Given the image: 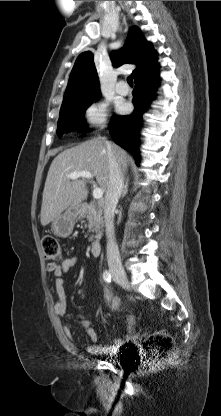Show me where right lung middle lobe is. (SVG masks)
Listing matches in <instances>:
<instances>
[{
    "label": "right lung middle lobe",
    "mask_w": 221,
    "mask_h": 416,
    "mask_svg": "<svg viewBox=\"0 0 221 416\" xmlns=\"http://www.w3.org/2000/svg\"><path fill=\"white\" fill-rule=\"evenodd\" d=\"M99 95L63 102L58 120V134L62 135L71 130L86 131L84 112Z\"/></svg>",
    "instance_id": "dd1d6c3e"
}]
</instances>
